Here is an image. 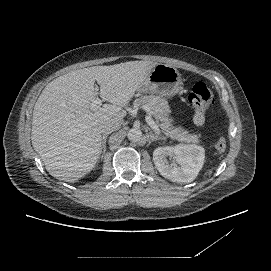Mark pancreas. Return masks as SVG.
<instances>
[{"label":"pancreas","mask_w":271,"mask_h":271,"mask_svg":"<svg viewBox=\"0 0 271 271\" xmlns=\"http://www.w3.org/2000/svg\"><path fill=\"white\" fill-rule=\"evenodd\" d=\"M135 108L147 106L150 109V113L157 120L161 132L166 137H170L173 140L186 143H199V136L189 134L188 131L184 130L182 127L172 126V120L168 118L169 106L166 99L161 98L160 96L144 95L135 99L133 103Z\"/></svg>","instance_id":"1"}]
</instances>
